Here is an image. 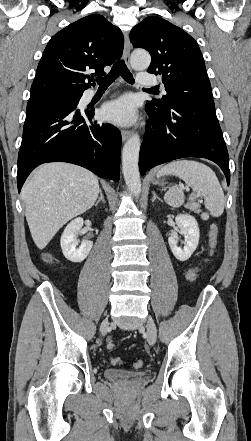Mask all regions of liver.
<instances>
[{
	"instance_id": "6515ba94",
	"label": "liver",
	"mask_w": 251,
	"mask_h": 441,
	"mask_svg": "<svg viewBox=\"0 0 251 441\" xmlns=\"http://www.w3.org/2000/svg\"><path fill=\"white\" fill-rule=\"evenodd\" d=\"M99 190L97 177L77 165L57 162L38 167L21 191L35 245L44 249L65 223L94 205Z\"/></svg>"
}]
</instances>
